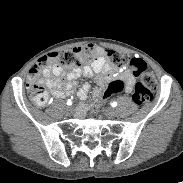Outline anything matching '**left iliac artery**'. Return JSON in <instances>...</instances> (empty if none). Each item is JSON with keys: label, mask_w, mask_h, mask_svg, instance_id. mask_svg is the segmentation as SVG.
Listing matches in <instances>:
<instances>
[{"label": "left iliac artery", "mask_w": 183, "mask_h": 183, "mask_svg": "<svg viewBox=\"0 0 183 183\" xmlns=\"http://www.w3.org/2000/svg\"><path fill=\"white\" fill-rule=\"evenodd\" d=\"M111 105H112V107H116V106H117V102H116V101H113V102L111 103Z\"/></svg>", "instance_id": "44dca946"}]
</instances>
